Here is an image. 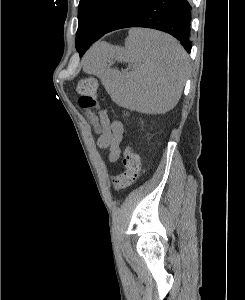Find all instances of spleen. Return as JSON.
Masks as SVG:
<instances>
[{"instance_id":"spleen-1","label":"spleen","mask_w":245,"mask_h":300,"mask_svg":"<svg viewBox=\"0 0 245 300\" xmlns=\"http://www.w3.org/2000/svg\"><path fill=\"white\" fill-rule=\"evenodd\" d=\"M113 59L137 66L121 73L109 68ZM83 70L101 79L117 105L143 113H165L181 97L188 58L173 37L149 29H131L124 47L101 43L91 50Z\"/></svg>"}]
</instances>
